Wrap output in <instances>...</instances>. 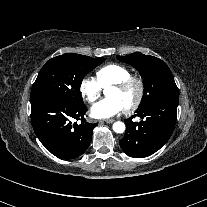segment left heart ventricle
Instances as JSON below:
<instances>
[{
    "label": "left heart ventricle",
    "instance_id": "obj_1",
    "mask_svg": "<svg viewBox=\"0 0 207 207\" xmlns=\"http://www.w3.org/2000/svg\"><path fill=\"white\" fill-rule=\"evenodd\" d=\"M136 94L137 89L135 86L130 87L126 91H119L113 87L109 93V97L120 99L127 107L134 100Z\"/></svg>",
    "mask_w": 207,
    "mask_h": 207
}]
</instances>
